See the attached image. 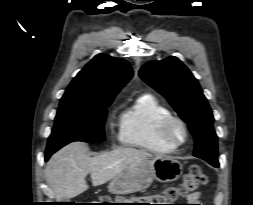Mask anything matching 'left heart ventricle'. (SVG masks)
Instances as JSON below:
<instances>
[{
  "label": "left heart ventricle",
  "mask_w": 253,
  "mask_h": 205,
  "mask_svg": "<svg viewBox=\"0 0 253 205\" xmlns=\"http://www.w3.org/2000/svg\"><path fill=\"white\" fill-rule=\"evenodd\" d=\"M172 134H173L174 138H176V139L181 138V136H182L181 129L178 126L174 127Z\"/></svg>",
  "instance_id": "1"
}]
</instances>
